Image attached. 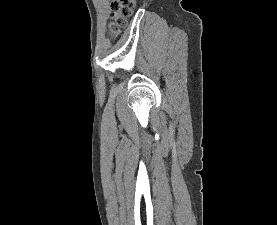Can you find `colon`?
<instances>
[{
    "instance_id": "5ec220e1",
    "label": "colon",
    "mask_w": 277,
    "mask_h": 225,
    "mask_svg": "<svg viewBox=\"0 0 277 225\" xmlns=\"http://www.w3.org/2000/svg\"><path fill=\"white\" fill-rule=\"evenodd\" d=\"M134 6L135 0L115 1L112 12L113 21L110 25L113 33L117 34L127 24V19L131 16Z\"/></svg>"
}]
</instances>
